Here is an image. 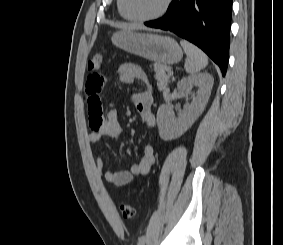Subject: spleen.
I'll list each match as a JSON object with an SVG mask.
<instances>
[{"label":"spleen","mask_w":283,"mask_h":245,"mask_svg":"<svg viewBox=\"0 0 283 245\" xmlns=\"http://www.w3.org/2000/svg\"><path fill=\"white\" fill-rule=\"evenodd\" d=\"M180 44L187 55L184 65L187 73L195 74L207 66L208 58L201 49L186 40H181Z\"/></svg>","instance_id":"spleen-1"}]
</instances>
